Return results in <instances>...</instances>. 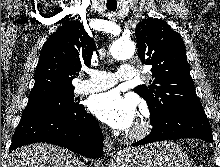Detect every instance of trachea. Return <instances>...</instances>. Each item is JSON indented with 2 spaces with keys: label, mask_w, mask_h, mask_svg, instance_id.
Listing matches in <instances>:
<instances>
[{
  "label": "trachea",
  "mask_w": 220,
  "mask_h": 167,
  "mask_svg": "<svg viewBox=\"0 0 220 167\" xmlns=\"http://www.w3.org/2000/svg\"><path fill=\"white\" fill-rule=\"evenodd\" d=\"M109 10H111V11H115L116 10V6H109V7H107Z\"/></svg>",
  "instance_id": "trachea-1"
}]
</instances>
